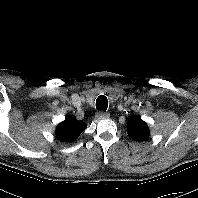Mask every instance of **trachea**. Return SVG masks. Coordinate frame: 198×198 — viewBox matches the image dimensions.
I'll return each instance as SVG.
<instances>
[{
	"label": "trachea",
	"instance_id": "trachea-1",
	"mask_svg": "<svg viewBox=\"0 0 198 198\" xmlns=\"http://www.w3.org/2000/svg\"><path fill=\"white\" fill-rule=\"evenodd\" d=\"M108 108V99L104 95H100L96 100V109L106 112Z\"/></svg>",
	"mask_w": 198,
	"mask_h": 198
}]
</instances>
